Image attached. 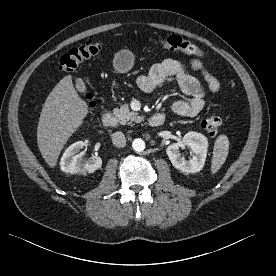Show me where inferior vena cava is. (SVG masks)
I'll return each mask as SVG.
<instances>
[{"label": "inferior vena cava", "mask_w": 276, "mask_h": 276, "mask_svg": "<svg viewBox=\"0 0 276 276\" xmlns=\"http://www.w3.org/2000/svg\"><path fill=\"white\" fill-rule=\"evenodd\" d=\"M111 137H112V143L114 146L118 148H123L126 146V138L122 132L117 131L113 133Z\"/></svg>", "instance_id": "1"}]
</instances>
